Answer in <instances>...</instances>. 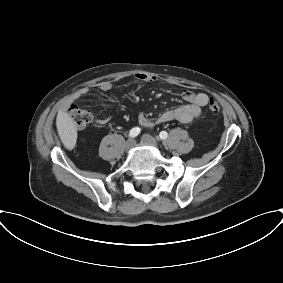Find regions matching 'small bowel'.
<instances>
[{"mask_svg":"<svg viewBox=\"0 0 283 283\" xmlns=\"http://www.w3.org/2000/svg\"><path fill=\"white\" fill-rule=\"evenodd\" d=\"M135 79L141 83H151L157 80L153 75L139 73L135 75ZM98 89L101 92H108L112 89V84L108 81H104L98 84ZM89 89L82 88L76 94V99L82 98L88 95ZM182 99L186 104L181 105L174 109H169L162 112L156 121L149 119L145 114L140 113L138 116V122L142 127L152 128L156 123H166L170 121H178L180 123H189L200 116L202 108L207 105L209 97L203 92H193L191 90H185L181 94ZM110 121V117H97L95 119L96 124L105 125Z\"/></svg>","mask_w":283,"mask_h":283,"instance_id":"1","label":"small bowel"}]
</instances>
